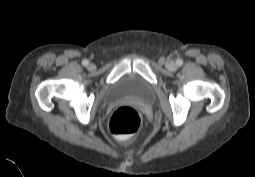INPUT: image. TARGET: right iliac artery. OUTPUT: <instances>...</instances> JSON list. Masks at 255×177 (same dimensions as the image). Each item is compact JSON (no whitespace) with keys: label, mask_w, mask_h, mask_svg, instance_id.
Masks as SVG:
<instances>
[{"label":"right iliac artery","mask_w":255,"mask_h":177,"mask_svg":"<svg viewBox=\"0 0 255 177\" xmlns=\"http://www.w3.org/2000/svg\"><path fill=\"white\" fill-rule=\"evenodd\" d=\"M82 64H83V66H87V65L89 64V62H88V60L84 59V60L82 61Z\"/></svg>","instance_id":"1"}]
</instances>
